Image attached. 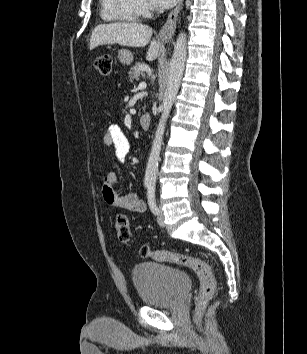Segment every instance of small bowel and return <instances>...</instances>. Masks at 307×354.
<instances>
[{
	"instance_id": "small-bowel-1",
	"label": "small bowel",
	"mask_w": 307,
	"mask_h": 354,
	"mask_svg": "<svg viewBox=\"0 0 307 354\" xmlns=\"http://www.w3.org/2000/svg\"><path fill=\"white\" fill-rule=\"evenodd\" d=\"M103 142L106 146L112 147L116 158L123 162L130 151V141L118 124H111L105 131ZM118 183V175L111 171L108 172L102 182V194L106 203L116 208L134 212H144L145 203L134 192L119 194L115 190Z\"/></svg>"
}]
</instances>
